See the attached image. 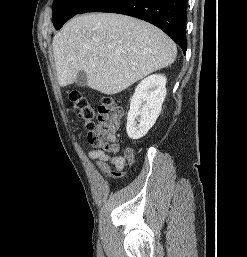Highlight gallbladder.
<instances>
[{"mask_svg": "<svg viewBox=\"0 0 247 257\" xmlns=\"http://www.w3.org/2000/svg\"><path fill=\"white\" fill-rule=\"evenodd\" d=\"M87 76L84 71H80L77 75L76 85L79 87H84L86 85Z\"/></svg>", "mask_w": 247, "mask_h": 257, "instance_id": "bac80fb5", "label": "gallbladder"}]
</instances>
